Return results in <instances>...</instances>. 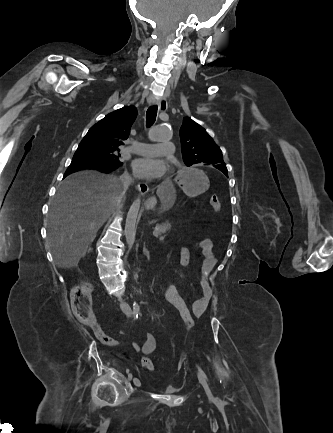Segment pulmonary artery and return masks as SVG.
Wrapping results in <instances>:
<instances>
[{"mask_svg":"<svg viewBox=\"0 0 333 433\" xmlns=\"http://www.w3.org/2000/svg\"><path fill=\"white\" fill-rule=\"evenodd\" d=\"M129 150L141 156L171 155L174 152V146L169 141L153 145L148 143H138L129 147Z\"/></svg>","mask_w":333,"mask_h":433,"instance_id":"1","label":"pulmonary artery"}]
</instances>
